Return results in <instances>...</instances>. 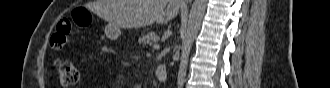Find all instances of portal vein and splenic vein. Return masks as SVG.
<instances>
[{
  "label": "portal vein and splenic vein",
  "mask_w": 330,
  "mask_h": 88,
  "mask_svg": "<svg viewBox=\"0 0 330 88\" xmlns=\"http://www.w3.org/2000/svg\"><path fill=\"white\" fill-rule=\"evenodd\" d=\"M159 47H160L159 44H154V45H153V48H154V49H158Z\"/></svg>",
  "instance_id": "obj_1"
}]
</instances>
